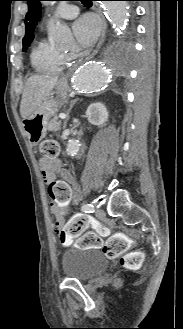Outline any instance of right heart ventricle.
<instances>
[{
	"label": "right heart ventricle",
	"mask_w": 183,
	"mask_h": 329,
	"mask_svg": "<svg viewBox=\"0 0 183 329\" xmlns=\"http://www.w3.org/2000/svg\"><path fill=\"white\" fill-rule=\"evenodd\" d=\"M30 59L32 67L43 73H58L66 67L68 62L67 55L45 40H40L35 45Z\"/></svg>",
	"instance_id": "right-heart-ventricle-1"
}]
</instances>
